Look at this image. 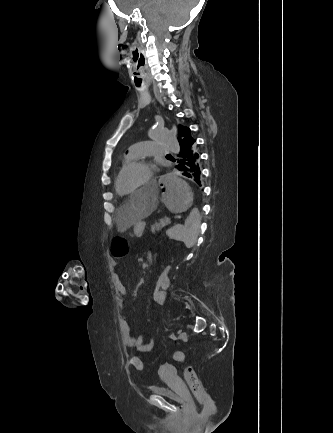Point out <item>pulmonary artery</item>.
<instances>
[{"label": "pulmonary artery", "instance_id": "pulmonary-artery-1", "mask_svg": "<svg viewBox=\"0 0 333 433\" xmlns=\"http://www.w3.org/2000/svg\"><path fill=\"white\" fill-rule=\"evenodd\" d=\"M170 151L171 149L168 145L156 141L139 142L129 147V153L135 158L151 155L164 156Z\"/></svg>", "mask_w": 333, "mask_h": 433}]
</instances>
